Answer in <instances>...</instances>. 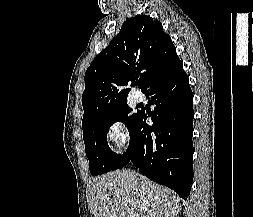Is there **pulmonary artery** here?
<instances>
[{
    "label": "pulmonary artery",
    "instance_id": "e3ab8cb5",
    "mask_svg": "<svg viewBox=\"0 0 253 217\" xmlns=\"http://www.w3.org/2000/svg\"><path fill=\"white\" fill-rule=\"evenodd\" d=\"M134 99L137 101V102H142L144 101V95L141 93V92H136L134 94Z\"/></svg>",
    "mask_w": 253,
    "mask_h": 217
}]
</instances>
